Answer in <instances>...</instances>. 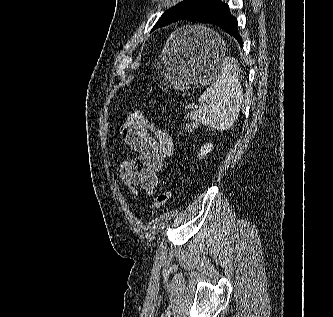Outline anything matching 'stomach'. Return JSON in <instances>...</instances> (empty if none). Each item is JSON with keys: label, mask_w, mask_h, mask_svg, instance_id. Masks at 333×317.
I'll list each match as a JSON object with an SVG mask.
<instances>
[{"label": "stomach", "mask_w": 333, "mask_h": 317, "mask_svg": "<svg viewBox=\"0 0 333 317\" xmlns=\"http://www.w3.org/2000/svg\"><path fill=\"white\" fill-rule=\"evenodd\" d=\"M198 31V32H196ZM216 29H203V24H184L173 32L162 50L161 77L168 95H201L202 89L216 81V74H224L232 55H223L224 41Z\"/></svg>", "instance_id": "obj_1"}]
</instances>
